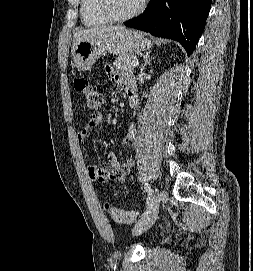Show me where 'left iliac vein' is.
Wrapping results in <instances>:
<instances>
[{"label":"left iliac vein","mask_w":253,"mask_h":271,"mask_svg":"<svg viewBox=\"0 0 253 271\" xmlns=\"http://www.w3.org/2000/svg\"><path fill=\"white\" fill-rule=\"evenodd\" d=\"M164 196L165 194L163 192H160L158 189L155 190L148 212L142 216L140 221L135 225L133 228V234L140 235L154 224L158 216L160 201Z\"/></svg>","instance_id":"4c4485c4"}]
</instances>
